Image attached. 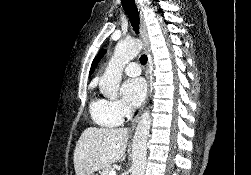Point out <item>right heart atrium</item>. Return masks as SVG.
Here are the masks:
<instances>
[{
  "instance_id": "1",
  "label": "right heart atrium",
  "mask_w": 251,
  "mask_h": 175,
  "mask_svg": "<svg viewBox=\"0 0 251 175\" xmlns=\"http://www.w3.org/2000/svg\"><path fill=\"white\" fill-rule=\"evenodd\" d=\"M109 110L114 119L119 123L131 116L130 109L120 101L109 102Z\"/></svg>"
}]
</instances>
